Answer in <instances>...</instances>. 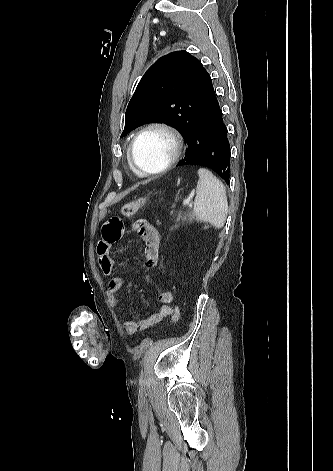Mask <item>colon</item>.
<instances>
[{"mask_svg": "<svg viewBox=\"0 0 333 471\" xmlns=\"http://www.w3.org/2000/svg\"><path fill=\"white\" fill-rule=\"evenodd\" d=\"M147 199V197H141L139 199L124 204L121 208L122 215L125 217L133 216L146 203ZM179 317L180 309L176 305L174 307V314L169 324H175L179 320Z\"/></svg>", "mask_w": 333, "mask_h": 471, "instance_id": "colon-1", "label": "colon"}]
</instances>
